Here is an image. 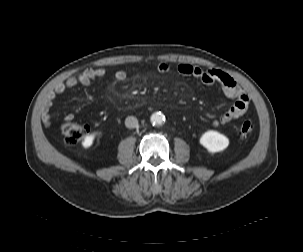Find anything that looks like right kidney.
I'll list each match as a JSON object with an SVG mask.
<instances>
[{
  "mask_svg": "<svg viewBox=\"0 0 303 252\" xmlns=\"http://www.w3.org/2000/svg\"><path fill=\"white\" fill-rule=\"evenodd\" d=\"M95 137H96V133H92L90 135H87L83 141H82V146L84 148H89L93 145V142L95 140Z\"/></svg>",
  "mask_w": 303,
  "mask_h": 252,
  "instance_id": "obj_1",
  "label": "right kidney"
}]
</instances>
